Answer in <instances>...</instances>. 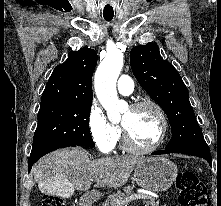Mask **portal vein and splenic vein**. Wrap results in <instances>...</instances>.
<instances>
[{
	"label": "portal vein and splenic vein",
	"mask_w": 221,
	"mask_h": 206,
	"mask_svg": "<svg viewBox=\"0 0 221 206\" xmlns=\"http://www.w3.org/2000/svg\"><path fill=\"white\" fill-rule=\"evenodd\" d=\"M144 196L143 195H140V194H135V195H132L128 198L125 199L124 201V204L125 206H127V204L133 200H138V199H142Z\"/></svg>",
	"instance_id": "18ae733b"
}]
</instances>
